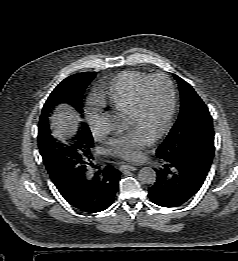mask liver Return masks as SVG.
<instances>
[{
	"mask_svg": "<svg viewBox=\"0 0 238 261\" xmlns=\"http://www.w3.org/2000/svg\"><path fill=\"white\" fill-rule=\"evenodd\" d=\"M51 126L54 129V134L58 138L67 137L75 132L77 129L78 117L70 110H62L54 114L51 118Z\"/></svg>",
	"mask_w": 238,
	"mask_h": 261,
	"instance_id": "liver-1",
	"label": "liver"
}]
</instances>
